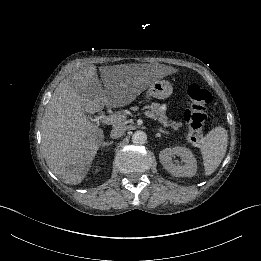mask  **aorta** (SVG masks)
<instances>
[{"mask_svg":"<svg viewBox=\"0 0 261 261\" xmlns=\"http://www.w3.org/2000/svg\"><path fill=\"white\" fill-rule=\"evenodd\" d=\"M147 141V135L145 132L143 131H136L133 135H132V142L134 144H145Z\"/></svg>","mask_w":261,"mask_h":261,"instance_id":"obj_1","label":"aorta"}]
</instances>
